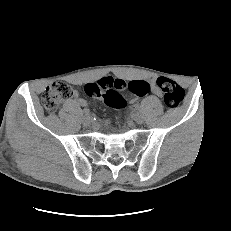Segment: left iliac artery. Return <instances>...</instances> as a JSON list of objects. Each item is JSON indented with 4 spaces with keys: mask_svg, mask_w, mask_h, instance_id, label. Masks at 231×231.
<instances>
[{
    "mask_svg": "<svg viewBox=\"0 0 231 231\" xmlns=\"http://www.w3.org/2000/svg\"><path fill=\"white\" fill-rule=\"evenodd\" d=\"M140 109H141V106L139 104H136V105L133 106V111L134 112H139Z\"/></svg>",
    "mask_w": 231,
    "mask_h": 231,
    "instance_id": "44dca946",
    "label": "left iliac artery"
}]
</instances>
